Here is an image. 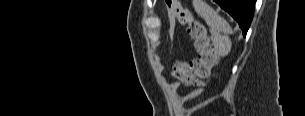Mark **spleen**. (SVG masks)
Here are the masks:
<instances>
[{"label":"spleen","mask_w":305,"mask_h":116,"mask_svg":"<svg viewBox=\"0 0 305 116\" xmlns=\"http://www.w3.org/2000/svg\"><path fill=\"white\" fill-rule=\"evenodd\" d=\"M195 11L205 20L206 24L210 27L211 31L221 32L224 34H231L232 29L229 23L219 16L209 5L203 1L193 2ZM220 44L223 43L226 47L230 48L229 41L226 38L219 40Z\"/></svg>","instance_id":"1"}]
</instances>
